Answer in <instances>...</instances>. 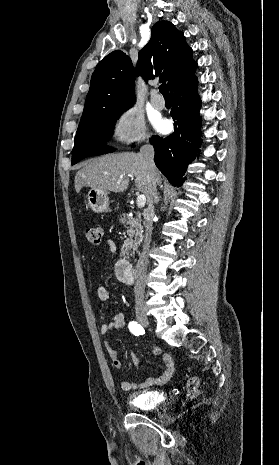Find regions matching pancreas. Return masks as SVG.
<instances>
[{"instance_id":"cf45deb5","label":"pancreas","mask_w":279,"mask_h":465,"mask_svg":"<svg viewBox=\"0 0 279 465\" xmlns=\"http://www.w3.org/2000/svg\"><path fill=\"white\" fill-rule=\"evenodd\" d=\"M119 221L125 226L127 235L129 236L124 241L121 253L123 256H128L134 253L140 245L143 239V226L139 218H133L128 214L120 215Z\"/></svg>"}]
</instances>
